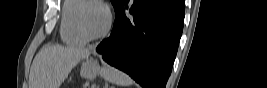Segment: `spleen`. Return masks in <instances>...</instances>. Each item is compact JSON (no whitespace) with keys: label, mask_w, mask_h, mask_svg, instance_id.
I'll return each mask as SVG.
<instances>
[{"label":"spleen","mask_w":267,"mask_h":88,"mask_svg":"<svg viewBox=\"0 0 267 88\" xmlns=\"http://www.w3.org/2000/svg\"><path fill=\"white\" fill-rule=\"evenodd\" d=\"M101 75L106 81L119 86H130L133 84L132 79L127 74L113 67H103Z\"/></svg>","instance_id":"obj_1"}]
</instances>
